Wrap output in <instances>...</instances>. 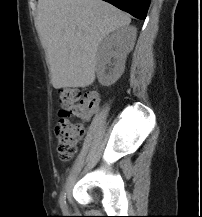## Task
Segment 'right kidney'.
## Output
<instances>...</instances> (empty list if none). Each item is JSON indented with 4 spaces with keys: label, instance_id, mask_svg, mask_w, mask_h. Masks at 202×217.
I'll return each mask as SVG.
<instances>
[{
    "label": "right kidney",
    "instance_id": "1",
    "mask_svg": "<svg viewBox=\"0 0 202 217\" xmlns=\"http://www.w3.org/2000/svg\"><path fill=\"white\" fill-rule=\"evenodd\" d=\"M137 29L121 27L106 36L97 52L96 73L103 86H111L123 74L127 54L133 49Z\"/></svg>",
    "mask_w": 202,
    "mask_h": 217
}]
</instances>
